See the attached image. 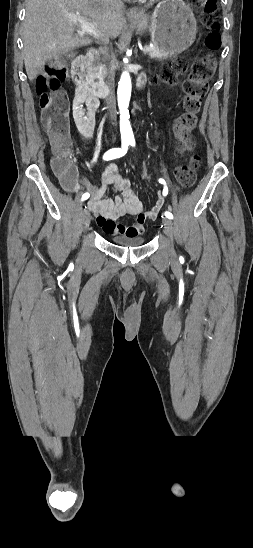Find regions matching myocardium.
Segmentation results:
<instances>
[{"label":"myocardium","instance_id":"1","mask_svg":"<svg viewBox=\"0 0 253 548\" xmlns=\"http://www.w3.org/2000/svg\"><path fill=\"white\" fill-rule=\"evenodd\" d=\"M142 1H147V0H142ZM149 1H158V0H149Z\"/></svg>","mask_w":253,"mask_h":548}]
</instances>
